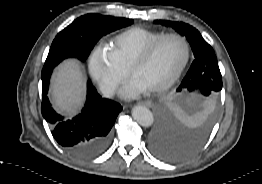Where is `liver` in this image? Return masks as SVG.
Segmentation results:
<instances>
[{"label": "liver", "mask_w": 262, "mask_h": 184, "mask_svg": "<svg viewBox=\"0 0 262 184\" xmlns=\"http://www.w3.org/2000/svg\"><path fill=\"white\" fill-rule=\"evenodd\" d=\"M85 94L84 77L76 61L60 65L52 81V96L60 112L74 114L81 107Z\"/></svg>", "instance_id": "6515ba94"}]
</instances>
